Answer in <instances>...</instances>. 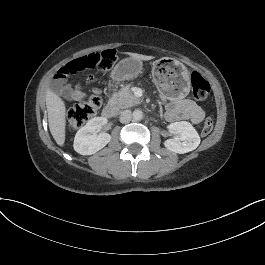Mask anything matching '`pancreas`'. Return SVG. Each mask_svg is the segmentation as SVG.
Listing matches in <instances>:
<instances>
[{"label":"pancreas","mask_w":265,"mask_h":265,"mask_svg":"<svg viewBox=\"0 0 265 265\" xmlns=\"http://www.w3.org/2000/svg\"><path fill=\"white\" fill-rule=\"evenodd\" d=\"M112 98L115 99V105L120 109L129 108L141 103V99L134 96L130 91V85H127L119 92L114 93Z\"/></svg>","instance_id":"cf45deb5"}]
</instances>
